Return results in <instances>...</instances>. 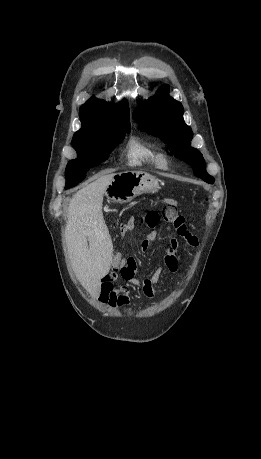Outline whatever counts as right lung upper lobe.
I'll use <instances>...</instances> for the list:
<instances>
[{
    "instance_id": "cb5924a9",
    "label": "right lung upper lobe",
    "mask_w": 261,
    "mask_h": 459,
    "mask_svg": "<svg viewBox=\"0 0 261 459\" xmlns=\"http://www.w3.org/2000/svg\"><path fill=\"white\" fill-rule=\"evenodd\" d=\"M79 115L82 128L74 135L130 123L129 108L126 101L112 107L104 100L91 98L80 107Z\"/></svg>"
}]
</instances>
